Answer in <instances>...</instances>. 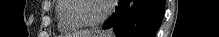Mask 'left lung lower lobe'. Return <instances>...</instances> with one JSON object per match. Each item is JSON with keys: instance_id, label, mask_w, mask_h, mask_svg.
Masks as SVG:
<instances>
[{"instance_id": "0a47b994", "label": "left lung lower lobe", "mask_w": 219, "mask_h": 37, "mask_svg": "<svg viewBox=\"0 0 219 37\" xmlns=\"http://www.w3.org/2000/svg\"><path fill=\"white\" fill-rule=\"evenodd\" d=\"M165 11V0H119V7L103 29L117 37H155Z\"/></svg>"}]
</instances>
